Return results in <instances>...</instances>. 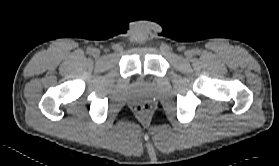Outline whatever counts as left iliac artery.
Wrapping results in <instances>:
<instances>
[{
	"label": "left iliac artery",
	"instance_id": "obj_1",
	"mask_svg": "<svg viewBox=\"0 0 279 166\" xmlns=\"http://www.w3.org/2000/svg\"><path fill=\"white\" fill-rule=\"evenodd\" d=\"M196 54H199V50L195 51Z\"/></svg>",
	"mask_w": 279,
	"mask_h": 166
}]
</instances>
